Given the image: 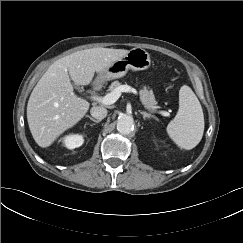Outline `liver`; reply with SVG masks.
<instances>
[{
    "mask_svg": "<svg viewBox=\"0 0 243 243\" xmlns=\"http://www.w3.org/2000/svg\"><path fill=\"white\" fill-rule=\"evenodd\" d=\"M127 53L125 49L92 48L67 55L50 65L27 104L29 129L40 147L50 146L89 110V102L73 93L71 80L77 85H89L95 73H102Z\"/></svg>",
    "mask_w": 243,
    "mask_h": 243,
    "instance_id": "obj_1",
    "label": "liver"
}]
</instances>
